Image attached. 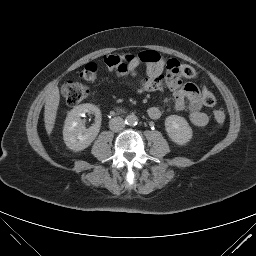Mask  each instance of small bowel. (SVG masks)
I'll return each mask as SVG.
<instances>
[{
  "instance_id": "obj_1",
  "label": "small bowel",
  "mask_w": 256,
  "mask_h": 256,
  "mask_svg": "<svg viewBox=\"0 0 256 256\" xmlns=\"http://www.w3.org/2000/svg\"><path fill=\"white\" fill-rule=\"evenodd\" d=\"M142 62L135 58L114 70L115 76L138 78V93L160 91L167 86L174 95V107L182 110L185 107L189 110V119L197 127L206 126L209 117L202 111V99L197 86L193 83H184L185 78L179 72L178 66L181 64L177 59H160L158 62H147L146 75L140 77L138 67ZM148 116L157 120L162 115V107L151 106Z\"/></svg>"
}]
</instances>
